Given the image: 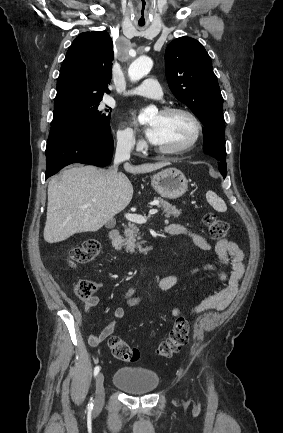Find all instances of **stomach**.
Instances as JSON below:
<instances>
[{"label":"stomach","mask_w":283,"mask_h":433,"mask_svg":"<svg viewBox=\"0 0 283 433\" xmlns=\"http://www.w3.org/2000/svg\"><path fill=\"white\" fill-rule=\"evenodd\" d=\"M151 184L165 198H178L188 188V180L178 168H164L161 172L153 174Z\"/></svg>","instance_id":"0dacf381"}]
</instances>
